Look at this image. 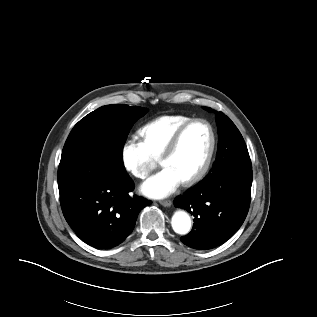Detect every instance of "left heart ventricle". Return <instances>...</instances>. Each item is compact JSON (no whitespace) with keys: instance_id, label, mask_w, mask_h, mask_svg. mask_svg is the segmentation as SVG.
Wrapping results in <instances>:
<instances>
[{"instance_id":"obj_1","label":"left heart ventricle","mask_w":317,"mask_h":317,"mask_svg":"<svg viewBox=\"0 0 317 317\" xmlns=\"http://www.w3.org/2000/svg\"><path fill=\"white\" fill-rule=\"evenodd\" d=\"M210 143L208 128L198 123L190 127L180 142L176 152L163 162L183 181L192 176L201 166Z\"/></svg>"}]
</instances>
